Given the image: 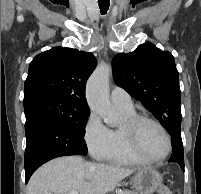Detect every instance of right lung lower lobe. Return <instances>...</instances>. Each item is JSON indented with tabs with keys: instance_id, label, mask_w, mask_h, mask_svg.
Masks as SVG:
<instances>
[{
	"instance_id": "obj_1",
	"label": "right lung lower lobe",
	"mask_w": 201,
	"mask_h": 194,
	"mask_svg": "<svg viewBox=\"0 0 201 194\" xmlns=\"http://www.w3.org/2000/svg\"><path fill=\"white\" fill-rule=\"evenodd\" d=\"M25 179L43 163L60 156L87 154V146L73 129L40 113L26 116Z\"/></svg>"
}]
</instances>
